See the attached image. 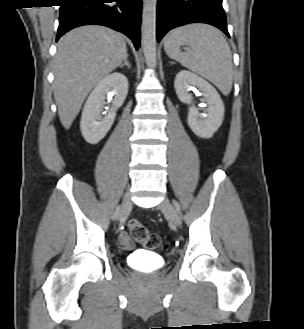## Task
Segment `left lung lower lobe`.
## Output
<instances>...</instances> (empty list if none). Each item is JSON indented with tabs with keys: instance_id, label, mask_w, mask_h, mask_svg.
<instances>
[{
	"instance_id": "1",
	"label": "left lung lower lobe",
	"mask_w": 304,
	"mask_h": 329,
	"mask_svg": "<svg viewBox=\"0 0 304 329\" xmlns=\"http://www.w3.org/2000/svg\"><path fill=\"white\" fill-rule=\"evenodd\" d=\"M195 22L213 25L229 36L222 0H158V42L169 30Z\"/></svg>"
}]
</instances>
